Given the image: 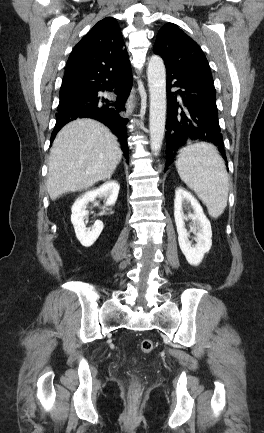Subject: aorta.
<instances>
[{"mask_svg": "<svg viewBox=\"0 0 264 433\" xmlns=\"http://www.w3.org/2000/svg\"><path fill=\"white\" fill-rule=\"evenodd\" d=\"M147 78L150 93V146L153 154L158 156L164 139L167 104L165 65L158 55L149 59Z\"/></svg>", "mask_w": 264, "mask_h": 433, "instance_id": "aorta-1", "label": "aorta"}]
</instances>
